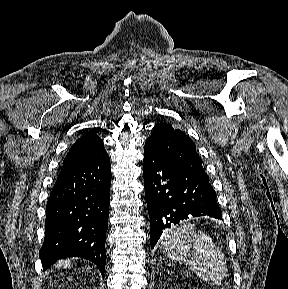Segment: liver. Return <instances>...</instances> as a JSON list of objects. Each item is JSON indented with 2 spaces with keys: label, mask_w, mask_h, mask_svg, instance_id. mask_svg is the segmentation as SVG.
<instances>
[{
  "label": "liver",
  "mask_w": 288,
  "mask_h": 289,
  "mask_svg": "<svg viewBox=\"0 0 288 289\" xmlns=\"http://www.w3.org/2000/svg\"><path fill=\"white\" fill-rule=\"evenodd\" d=\"M71 262H72V259H66V260H64V261H61V262L58 264V267H59V268H64V269L70 268Z\"/></svg>",
  "instance_id": "liver-1"
}]
</instances>
